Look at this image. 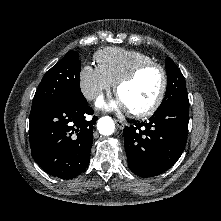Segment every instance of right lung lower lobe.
<instances>
[{
  "mask_svg": "<svg viewBox=\"0 0 221 221\" xmlns=\"http://www.w3.org/2000/svg\"><path fill=\"white\" fill-rule=\"evenodd\" d=\"M93 113L84 98L56 101L29 118L31 154L45 172L71 179L87 168L98 117L86 115Z\"/></svg>",
  "mask_w": 221,
  "mask_h": 221,
  "instance_id": "right-lung-lower-lobe-1",
  "label": "right lung lower lobe"
}]
</instances>
